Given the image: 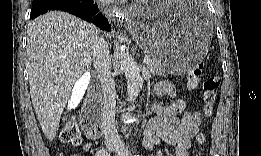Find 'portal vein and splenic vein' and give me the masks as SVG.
Returning a JSON list of instances; mask_svg holds the SVG:
<instances>
[{
    "label": "portal vein and splenic vein",
    "mask_w": 261,
    "mask_h": 156,
    "mask_svg": "<svg viewBox=\"0 0 261 156\" xmlns=\"http://www.w3.org/2000/svg\"><path fill=\"white\" fill-rule=\"evenodd\" d=\"M150 62V58L149 57H145L143 60V64H148Z\"/></svg>",
    "instance_id": "1"
}]
</instances>
